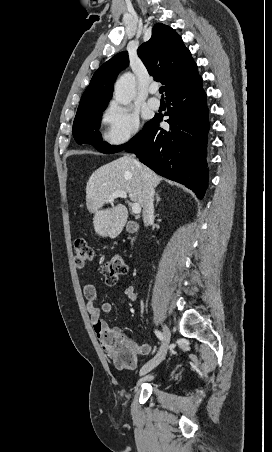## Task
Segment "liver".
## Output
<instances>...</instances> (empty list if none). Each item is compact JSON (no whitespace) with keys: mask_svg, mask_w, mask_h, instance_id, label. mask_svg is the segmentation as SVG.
<instances>
[{"mask_svg":"<svg viewBox=\"0 0 272 452\" xmlns=\"http://www.w3.org/2000/svg\"><path fill=\"white\" fill-rule=\"evenodd\" d=\"M147 172L152 185L156 187L162 180L155 172L142 166ZM118 190L129 194L131 201L143 207V183L140 171L133 158L125 155L109 162L90 176L86 186V206L93 214V225L96 234L101 237H115L123 230L128 211L122 204L103 209L109 196Z\"/></svg>","mask_w":272,"mask_h":452,"instance_id":"1","label":"liver"}]
</instances>
